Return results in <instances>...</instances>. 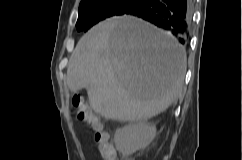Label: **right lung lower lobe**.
Listing matches in <instances>:
<instances>
[{"label":"right lung lower lobe","mask_w":242,"mask_h":160,"mask_svg":"<svg viewBox=\"0 0 242 160\" xmlns=\"http://www.w3.org/2000/svg\"><path fill=\"white\" fill-rule=\"evenodd\" d=\"M125 14L168 30L185 43L191 24V0H141Z\"/></svg>","instance_id":"right-lung-lower-lobe-1"}]
</instances>
